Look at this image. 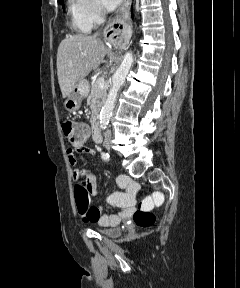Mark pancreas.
<instances>
[{
  "label": "pancreas",
  "mask_w": 240,
  "mask_h": 288,
  "mask_svg": "<svg viewBox=\"0 0 240 288\" xmlns=\"http://www.w3.org/2000/svg\"><path fill=\"white\" fill-rule=\"evenodd\" d=\"M107 94V88H100L97 85V80L93 82L91 94L87 98V105L90 106L92 115H95L100 107V105L104 102Z\"/></svg>",
  "instance_id": "cf45deb5"
}]
</instances>
